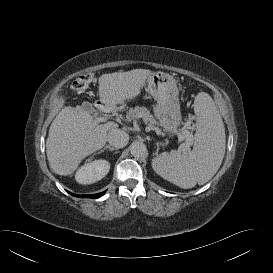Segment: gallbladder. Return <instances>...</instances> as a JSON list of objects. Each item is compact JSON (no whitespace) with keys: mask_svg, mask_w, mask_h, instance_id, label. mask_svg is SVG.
I'll list each match as a JSON object with an SVG mask.
<instances>
[{"mask_svg":"<svg viewBox=\"0 0 273 273\" xmlns=\"http://www.w3.org/2000/svg\"><path fill=\"white\" fill-rule=\"evenodd\" d=\"M82 108L86 111L92 112L93 111V107L92 104L88 103V102H84L82 104Z\"/></svg>","mask_w":273,"mask_h":273,"instance_id":"obj_1","label":"gallbladder"}]
</instances>
